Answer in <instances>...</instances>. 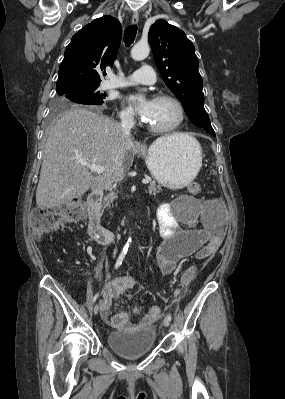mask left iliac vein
<instances>
[{
    "instance_id": "1",
    "label": "left iliac vein",
    "mask_w": 285,
    "mask_h": 399,
    "mask_svg": "<svg viewBox=\"0 0 285 399\" xmlns=\"http://www.w3.org/2000/svg\"><path fill=\"white\" fill-rule=\"evenodd\" d=\"M162 324L164 325V327H168L169 324H170V321L165 317V318L163 319Z\"/></svg>"
}]
</instances>
